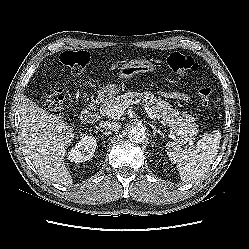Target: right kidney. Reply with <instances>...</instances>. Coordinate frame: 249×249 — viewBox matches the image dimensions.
Returning a JSON list of instances; mask_svg holds the SVG:
<instances>
[{
    "label": "right kidney",
    "mask_w": 249,
    "mask_h": 249,
    "mask_svg": "<svg viewBox=\"0 0 249 249\" xmlns=\"http://www.w3.org/2000/svg\"><path fill=\"white\" fill-rule=\"evenodd\" d=\"M97 140L93 136L85 135L76 143L68 153V160L74 163L87 161L93 157Z\"/></svg>",
    "instance_id": "right-kidney-1"
}]
</instances>
